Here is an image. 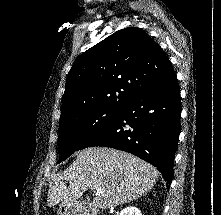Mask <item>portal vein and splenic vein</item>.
<instances>
[{
    "instance_id": "18ae733b",
    "label": "portal vein and splenic vein",
    "mask_w": 221,
    "mask_h": 215,
    "mask_svg": "<svg viewBox=\"0 0 221 215\" xmlns=\"http://www.w3.org/2000/svg\"><path fill=\"white\" fill-rule=\"evenodd\" d=\"M100 193H103V191L101 189H97L96 194H100Z\"/></svg>"
}]
</instances>
